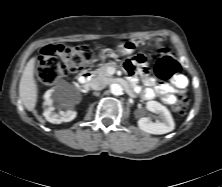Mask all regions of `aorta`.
Returning <instances> with one entry per match:
<instances>
[{
	"mask_svg": "<svg viewBox=\"0 0 222 187\" xmlns=\"http://www.w3.org/2000/svg\"><path fill=\"white\" fill-rule=\"evenodd\" d=\"M122 86L120 84L114 83L110 86V92L115 95H121L122 94Z\"/></svg>",
	"mask_w": 222,
	"mask_h": 187,
	"instance_id": "762f6f07",
	"label": "aorta"
}]
</instances>
